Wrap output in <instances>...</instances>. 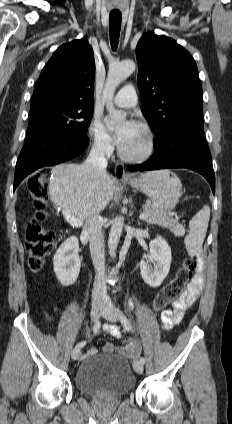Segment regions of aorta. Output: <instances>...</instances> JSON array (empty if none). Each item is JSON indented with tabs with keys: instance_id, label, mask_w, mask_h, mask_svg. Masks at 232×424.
I'll use <instances>...</instances> for the list:
<instances>
[{
	"instance_id": "762f6f07",
	"label": "aorta",
	"mask_w": 232,
	"mask_h": 424,
	"mask_svg": "<svg viewBox=\"0 0 232 424\" xmlns=\"http://www.w3.org/2000/svg\"><path fill=\"white\" fill-rule=\"evenodd\" d=\"M136 69V64L132 60H125L120 63L111 65L108 71L105 87L103 90L102 99L106 103L109 119L106 120V126L110 129L122 124L126 120V114L115 109L112 99L116 87L128 78ZM124 224V217L118 216L114 219L109 233L108 247L110 255L116 256V249L120 240Z\"/></svg>"
}]
</instances>
